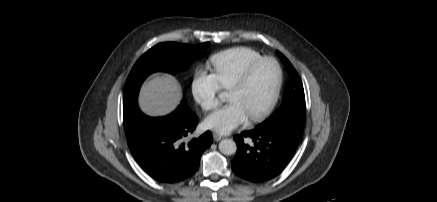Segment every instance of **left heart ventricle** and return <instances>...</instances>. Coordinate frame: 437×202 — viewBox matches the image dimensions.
<instances>
[{
  "label": "left heart ventricle",
  "mask_w": 437,
  "mask_h": 202,
  "mask_svg": "<svg viewBox=\"0 0 437 202\" xmlns=\"http://www.w3.org/2000/svg\"><path fill=\"white\" fill-rule=\"evenodd\" d=\"M276 80L275 65L272 62H264L255 69L245 86L229 91L228 100L239 102L249 118L261 111L269 102Z\"/></svg>",
  "instance_id": "b2bd125f"
}]
</instances>
